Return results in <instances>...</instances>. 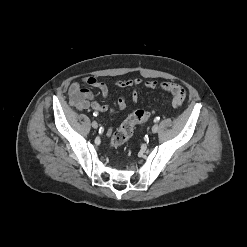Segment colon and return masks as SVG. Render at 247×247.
Returning <instances> with one entry per match:
<instances>
[{"mask_svg": "<svg viewBox=\"0 0 247 247\" xmlns=\"http://www.w3.org/2000/svg\"><path fill=\"white\" fill-rule=\"evenodd\" d=\"M150 113L145 110H137L133 112L118 128L112 137V146H120L127 142L133 135L136 126L146 121Z\"/></svg>", "mask_w": 247, "mask_h": 247, "instance_id": "obj_1", "label": "colon"}]
</instances>
